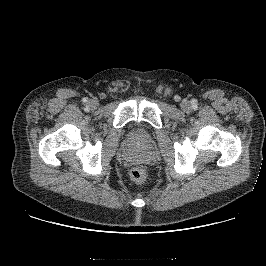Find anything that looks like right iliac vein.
Returning a JSON list of instances; mask_svg holds the SVG:
<instances>
[{"label": "right iliac vein", "mask_w": 266, "mask_h": 266, "mask_svg": "<svg viewBox=\"0 0 266 266\" xmlns=\"http://www.w3.org/2000/svg\"><path fill=\"white\" fill-rule=\"evenodd\" d=\"M88 104H89V107L92 110H95L98 107V102L96 100H94V99L93 100H90Z\"/></svg>", "instance_id": "right-iliac-vein-1"}]
</instances>
